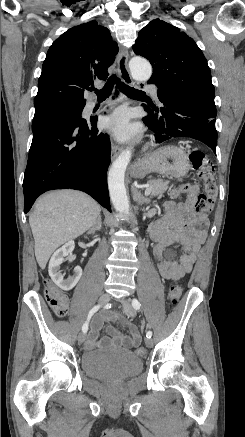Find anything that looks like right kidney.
I'll return each instance as SVG.
<instances>
[{
	"label": "right kidney",
	"mask_w": 245,
	"mask_h": 437,
	"mask_svg": "<svg viewBox=\"0 0 245 437\" xmlns=\"http://www.w3.org/2000/svg\"><path fill=\"white\" fill-rule=\"evenodd\" d=\"M75 244L74 241H69L61 248L56 250L49 262V275L53 282L62 290L69 291L73 289L82 276V269L80 266L74 268L73 276L64 279V275L60 270V265L64 261V257L72 254Z\"/></svg>",
	"instance_id": "obj_1"
}]
</instances>
